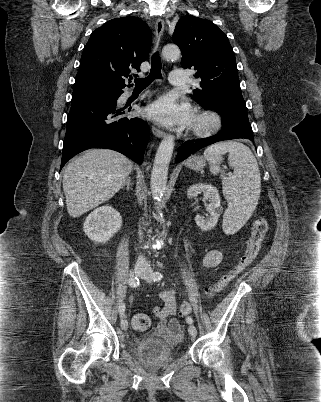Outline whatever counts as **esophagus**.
<instances>
[{"label":"esophagus","instance_id":"obj_1","mask_svg":"<svg viewBox=\"0 0 321 402\" xmlns=\"http://www.w3.org/2000/svg\"><path fill=\"white\" fill-rule=\"evenodd\" d=\"M164 21L162 19H157L156 23H155V49L158 47L161 37L163 35L164 32ZM153 133L156 137L158 138H162L166 135V133L160 129H157L155 127H153Z\"/></svg>","mask_w":321,"mask_h":402}]
</instances>
